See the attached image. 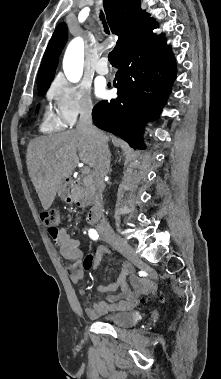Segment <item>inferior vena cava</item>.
Returning <instances> with one entry per match:
<instances>
[{
    "label": "inferior vena cava",
    "instance_id": "602c4592",
    "mask_svg": "<svg viewBox=\"0 0 221 379\" xmlns=\"http://www.w3.org/2000/svg\"><path fill=\"white\" fill-rule=\"evenodd\" d=\"M92 106L90 104L85 105L80 112V118L77 123V130H82L87 134L93 136L98 143V154L96 164L94 166V179L96 186L99 190H104V178L109 172L110 167V159L111 153L108 148V144L105 141L104 134L98 130L92 124V116H91ZM101 227L105 229H110V225L105 219L101 220Z\"/></svg>",
    "mask_w": 221,
    "mask_h": 379
}]
</instances>
